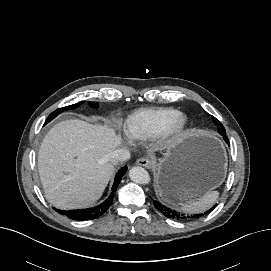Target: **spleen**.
Instances as JSON below:
<instances>
[{"mask_svg":"<svg viewBox=\"0 0 271 271\" xmlns=\"http://www.w3.org/2000/svg\"><path fill=\"white\" fill-rule=\"evenodd\" d=\"M218 196V191H210L197 200L182 204V210L189 213H199L205 211L217 202Z\"/></svg>","mask_w":271,"mask_h":271,"instance_id":"spleen-1","label":"spleen"}]
</instances>
